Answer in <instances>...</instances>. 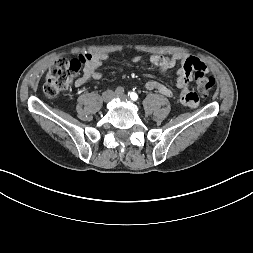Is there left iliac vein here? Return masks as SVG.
<instances>
[{"instance_id": "4c4485c4", "label": "left iliac vein", "mask_w": 253, "mask_h": 253, "mask_svg": "<svg viewBox=\"0 0 253 253\" xmlns=\"http://www.w3.org/2000/svg\"><path fill=\"white\" fill-rule=\"evenodd\" d=\"M116 97L122 99V100H127V96L125 94H119V95H116Z\"/></svg>"}]
</instances>
